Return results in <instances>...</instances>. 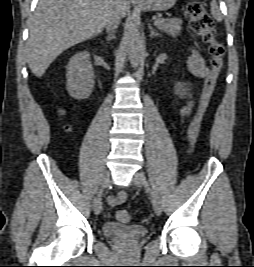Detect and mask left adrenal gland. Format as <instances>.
Segmentation results:
<instances>
[{"mask_svg": "<svg viewBox=\"0 0 254 267\" xmlns=\"http://www.w3.org/2000/svg\"><path fill=\"white\" fill-rule=\"evenodd\" d=\"M148 29H149V32H150V34H149L150 38L160 37V34L153 29L151 24H148Z\"/></svg>", "mask_w": 254, "mask_h": 267, "instance_id": "1", "label": "left adrenal gland"}]
</instances>
